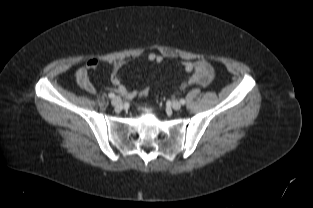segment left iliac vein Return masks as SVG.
Returning a JSON list of instances; mask_svg holds the SVG:
<instances>
[{
	"instance_id": "1",
	"label": "left iliac vein",
	"mask_w": 313,
	"mask_h": 208,
	"mask_svg": "<svg viewBox=\"0 0 313 208\" xmlns=\"http://www.w3.org/2000/svg\"><path fill=\"white\" fill-rule=\"evenodd\" d=\"M172 108L174 110H179L181 108V103L179 101H177V100L173 101L172 102Z\"/></svg>"
}]
</instances>
